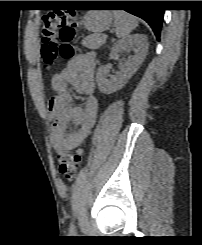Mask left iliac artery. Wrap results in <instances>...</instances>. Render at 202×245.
<instances>
[{
  "label": "left iliac artery",
  "mask_w": 202,
  "mask_h": 245,
  "mask_svg": "<svg viewBox=\"0 0 202 245\" xmlns=\"http://www.w3.org/2000/svg\"><path fill=\"white\" fill-rule=\"evenodd\" d=\"M70 232L75 233L76 232V227L73 223L70 224Z\"/></svg>",
  "instance_id": "left-iliac-artery-1"
}]
</instances>
